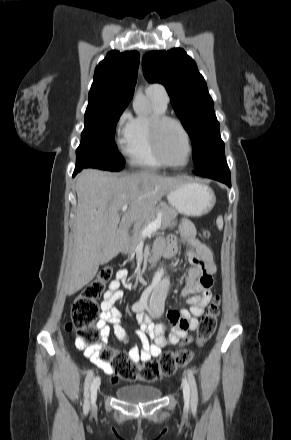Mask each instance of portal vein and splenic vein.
Returning <instances> with one entry per match:
<instances>
[{"mask_svg":"<svg viewBox=\"0 0 291 440\" xmlns=\"http://www.w3.org/2000/svg\"><path fill=\"white\" fill-rule=\"evenodd\" d=\"M128 209V206L125 205L122 207V212H126ZM161 227V215H158V217L152 221L151 223H149L146 228H144L141 232L142 237H145L153 232H155L156 230H158Z\"/></svg>","mask_w":291,"mask_h":440,"instance_id":"portal-vein-and-splenic-vein-1","label":"portal vein and splenic vein"}]
</instances>
